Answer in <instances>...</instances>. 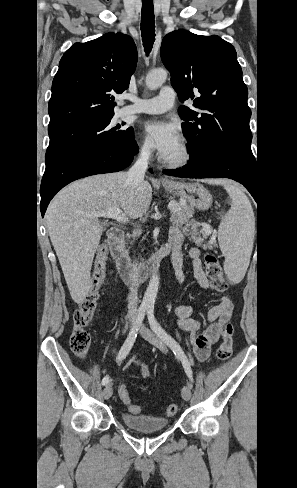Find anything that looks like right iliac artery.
Instances as JSON below:
<instances>
[{
  "mask_svg": "<svg viewBox=\"0 0 297 488\" xmlns=\"http://www.w3.org/2000/svg\"><path fill=\"white\" fill-rule=\"evenodd\" d=\"M146 310L147 308L144 307V306H141L138 310V314H137V317H136V321L133 325V327L131 328V331L129 332L128 336H127V339L125 340L123 346L121 347L119 353H118V356L116 358L117 362H120L122 361L127 355L128 353L130 352L135 340H136V337H137V334H138V330L144 320V317H145V313H146ZM109 382V376L106 375L103 379H102V385H106L107 383Z\"/></svg>",
  "mask_w": 297,
  "mask_h": 488,
  "instance_id": "right-iliac-artery-1",
  "label": "right iliac artery"
}]
</instances>
